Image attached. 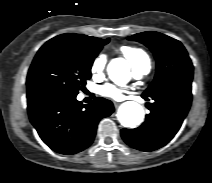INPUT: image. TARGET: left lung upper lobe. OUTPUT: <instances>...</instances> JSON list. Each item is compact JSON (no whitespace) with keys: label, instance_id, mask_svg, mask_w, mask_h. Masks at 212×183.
<instances>
[{"label":"left lung upper lobe","instance_id":"5c2ea615","mask_svg":"<svg viewBox=\"0 0 212 183\" xmlns=\"http://www.w3.org/2000/svg\"><path fill=\"white\" fill-rule=\"evenodd\" d=\"M128 39L146 45L157 61L155 79L143 95L150 96L166 88L191 85L193 65L181 42L154 31L138 33Z\"/></svg>","mask_w":212,"mask_h":183}]
</instances>
